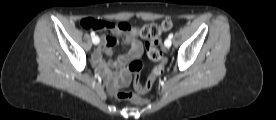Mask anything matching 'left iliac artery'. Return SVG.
Returning <instances> with one entry per match:
<instances>
[{
	"mask_svg": "<svg viewBox=\"0 0 276 120\" xmlns=\"http://www.w3.org/2000/svg\"><path fill=\"white\" fill-rule=\"evenodd\" d=\"M169 39H172L173 38V34L170 33L169 36H168ZM167 46V44H165Z\"/></svg>",
	"mask_w": 276,
	"mask_h": 120,
	"instance_id": "left-iliac-artery-1",
	"label": "left iliac artery"
}]
</instances>
